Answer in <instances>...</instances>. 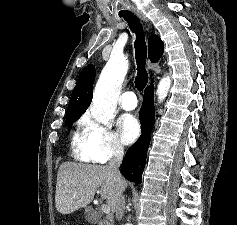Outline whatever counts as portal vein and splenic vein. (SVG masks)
Segmentation results:
<instances>
[{
  "instance_id": "portal-vein-and-splenic-vein-1",
  "label": "portal vein and splenic vein",
  "mask_w": 237,
  "mask_h": 225,
  "mask_svg": "<svg viewBox=\"0 0 237 225\" xmlns=\"http://www.w3.org/2000/svg\"><path fill=\"white\" fill-rule=\"evenodd\" d=\"M101 210L105 214H109L110 213V207L108 205H102L101 206Z\"/></svg>"
}]
</instances>
